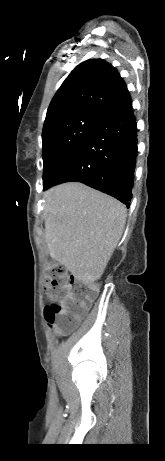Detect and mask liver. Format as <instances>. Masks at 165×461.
Here are the masks:
<instances>
[{
    "label": "liver",
    "instance_id": "6515ba94",
    "mask_svg": "<svg viewBox=\"0 0 165 461\" xmlns=\"http://www.w3.org/2000/svg\"><path fill=\"white\" fill-rule=\"evenodd\" d=\"M44 198L50 256L84 283L100 279L123 234L125 206L78 182L50 188Z\"/></svg>",
    "mask_w": 165,
    "mask_h": 461
}]
</instances>
